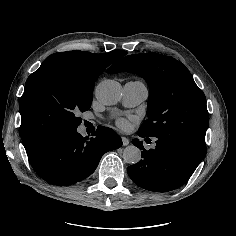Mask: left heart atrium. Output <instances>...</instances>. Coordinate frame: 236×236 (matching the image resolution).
<instances>
[{"instance_id":"left-heart-atrium-1","label":"left heart atrium","mask_w":236,"mask_h":236,"mask_svg":"<svg viewBox=\"0 0 236 236\" xmlns=\"http://www.w3.org/2000/svg\"><path fill=\"white\" fill-rule=\"evenodd\" d=\"M118 126L121 128V129H127L128 128V122L126 120H123V119H120L118 121Z\"/></svg>"}]
</instances>
